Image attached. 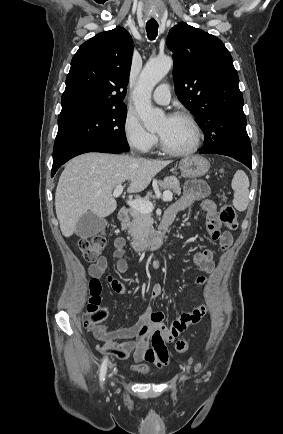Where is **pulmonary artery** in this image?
Returning a JSON list of instances; mask_svg holds the SVG:
<instances>
[{"mask_svg":"<svg viewBox=\"0 0 283 434\" xmlns=\"http://www.w3.org/2000/svg\"><path fill=\"white\" fill-rule=\"evenodd\" d=\"M153 100L161 105H166L170 102V87L167 83L160 84L154 91Z\"/></svg>","mask_w":283,"mask_h":434,"instance_id":"pulmonary-artery-1","label":"pulmonary artery"}]
</instances>
